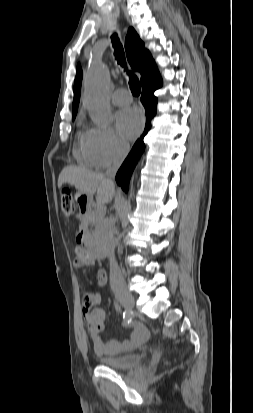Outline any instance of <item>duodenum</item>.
I'll return each mask as SVG.
<instances>
[{
	"mask_svg": "<svg viewBox=\"0 0 253 413\" xmlns=\"http://www.w3.org/2000/svg\"><path fill=\"white\" fill-rule=\"evenodd\" d=\"M81 209L83 213L86 212L87 210L86 202L81 203ZM78 242L82 244L83 251L85 255L88 256L89 258L91 259H102L103 258L104 256L103 250L98 245H96L95 243L91 242L88 239L85 230H82L79 232Z\"/></svg>",
	"mask_w": 253,
	"mask_h": 413,
	"instance_id": "duodenum-1",
	"label": "duodenum"
}]
</instances>
